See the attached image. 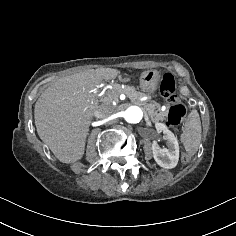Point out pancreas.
Listing matches in <instances>:
<instances>
[{"label": "pancreas", "instance_id": "obj_1", "mask_svg": "<svg viewBox=\"0 0 236 236\" xmlns=\"http://www.w3.org/2000/svg\"><path fill=\"white\" fill-rule=\"evenodd\" d=\"M113 90L117 96L120 94H125L133 103L141 104L154 121L157 119H164L168 115L167 111H160L161 105L156 101L140 102V99L144 97L145 94L136 91L132 86H125L124 88H121L119 84H114Z\"/></svg>", "mask_w": 236, "mask_h": 236}]
</instances>
